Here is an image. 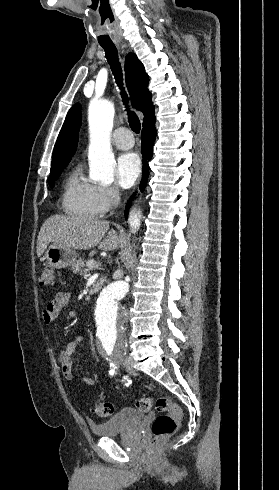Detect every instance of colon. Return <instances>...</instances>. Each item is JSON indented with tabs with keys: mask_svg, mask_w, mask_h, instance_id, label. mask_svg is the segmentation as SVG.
Here are the masks:
<instances>
[{
	"mask_svg": "<svg viewBox=\"0 0 279 490\" xmlns=\"http://www.w3.org/2000/svg\"><path fill=\"white\" fill-rule=\"evenodd\" d=\"M56 277L52 267L46 266L39 277L41 285L53 286ZM55 301V300H54ZM152 401L150 398H141L137 401V408L140 411H150ZM157 417L152 424V432L156 442H171L172 435L177 429V421L182 417V411L174 404L168 396H162L156 401ZM93 413L100 417L112 416L114 407L111 402H96L93 405Z\"/></svg>",
	"mask_w": 279,
	"mask_h": 490,
	"instance_id": "obj_1",
	"label": "colon"
}]
</instances>
